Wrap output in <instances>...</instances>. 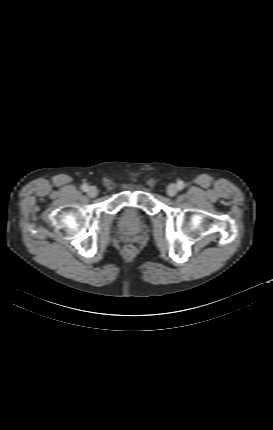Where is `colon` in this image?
<instances>
[{"instance_id":"obj_1","label":"colon","mask_w":273,"mask_h":430,"mask_svg":"<svg viewBox=\"0 0 273 430\" xmlns=\"http://www.w3.org/2000/svg\"><path fill=\"white\" fill-rule=\"evenodd\" d=\"M124 252H125L127 255H131V254H133V253H134V247H133L132 245H127V246L124 248Z\"/></svg>"}]
</instances>
